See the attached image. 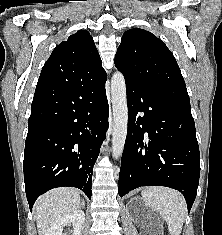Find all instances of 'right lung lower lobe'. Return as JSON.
I'll list each match as a JSON object with an SVG mask.
<instances>
[{"label": "right lung lower lobe", "mask_w": 222, "mask_h": 235, "mask_svg": "<svg viewBox=\"0 0 222 235\" xmlns=\"http://www.w3.org/2000/svg\"><path fill=\"white\" fill-rule=\"evenodd\" d=\"M107 75L71 86L37 85L24 150V182L30 210L46 191L81 189L91 199L93 166L108 129Z\"/></svg>", "instance_id": "1"}]
</instances>
